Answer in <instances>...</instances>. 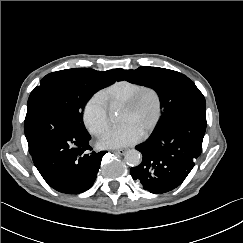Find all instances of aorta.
<instances>
[{"label": "aorta", "instance_id": "aorta-1", "mask_svg": "<svg viewBox=\"0 0 243 243\" xmlns=\"http://www.w3.org/2000/svg\"><path fill=\"white\" fill-rule=\"evenodd\" d=\"M109 116L111 119H114L115 115L113 111H110ZM125 162L132 167H136L141 163V154L139 151L135 149H131L127 151V153L124 156Z\"/></svg>", "mask_w": 243, "mask_h": 243}]
</instances>
